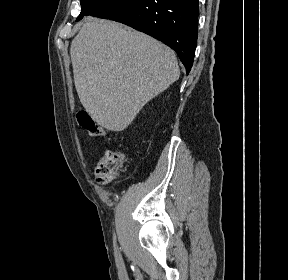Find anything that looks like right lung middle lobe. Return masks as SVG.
<instances>
[{"label": "right lung middle lobe", "instance_id": "1", "mask_svg": "<svg viewBox=\"0 0 288 280\" xmlns=\"http://www.w3.org/2000/svg\"><path fill=\"white\" fill-rule=\"evenodd\" d=\"M111 0H81V13L77 18V21L82 19L84 16L91 15L102 5L108 3Z\"/></svg>", "mask_w": 288, "mask_h": 280}]
</instances>
